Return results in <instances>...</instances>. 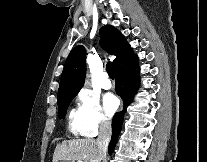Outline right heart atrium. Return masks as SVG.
<instances>
[{
	"label": "right heart atrium",
	"instance_id": "d8ad5b80",
	"mask_svg": "<svg viewBox=\"0 0 207 162\" xmlns=\"http://www.w3.org/2000/svg\"><path fill=\"white\" fill-rule=\"evenodd\" d=\"M80 112L81 131L84 136H94L100 129L109 125L98 99L88 91H81L77 96Z\"/></svg>",
	"mask_w": 207,
	"mask_h": 162
}]
</instances>
